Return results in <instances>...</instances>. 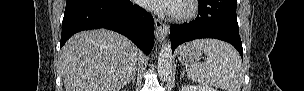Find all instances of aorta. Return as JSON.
<instances>
[{
	"instance_id": "obj_1",
	"label": "aorta",
	"mask_w": 304,
	"mask_h": 91,
	"mask_svg": "<svg viewBox=\"0 0 304 91\" xmlns=\"http://www.w3.org/2000/svg\"><path fill=\"white\" fill-rule=\"evenodd\" d=\"M172 48L171 44L167 43L162 46L158 57L157 71L161 80H168L172 73Z\"/></svg>"
}]
</instances>
